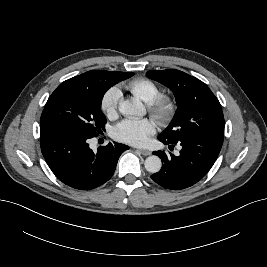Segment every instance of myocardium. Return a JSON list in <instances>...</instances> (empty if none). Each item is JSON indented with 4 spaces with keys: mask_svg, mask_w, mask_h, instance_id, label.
<instances>
[{
    "mask_svg": "<svg viewBox=\"0 0 267 267\" xmlns=\"http://www.w3.org/2000/svg\"><path fill=\"white\" fill-rule=\"evenodd\" d=\"M177 102L168 94H159L154 100L147 103L149 113L162 125H168L177 112Z\"/></svg>",
    "mask_w": 267,
    "mask_h": 267,
    "instance_id": "1",
    "label": "myocardium"
}]
</instances>
